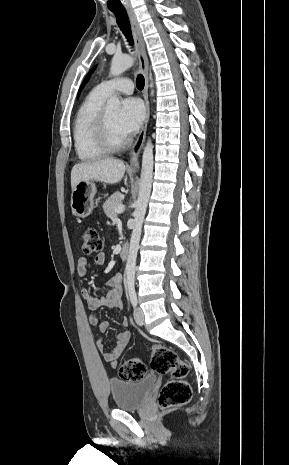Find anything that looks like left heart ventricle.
I'll return each mask as SVG.
<instances>
[{
  "instance_id": "b2bd125f",
  "label": "left heart ventricle",
  "mask_w": 289,
  "mask_h": 465,
  "mask_svg": "<svg viewBox=\"0 0 289 465\" xmlns=\"http://www.w3.org/2000/svg\"><path fill=\"white\" fill-rule=\"evenodd\" d=\"M106 111H107L108 121H109L113 136L118 140L123 139L124 136L120 132L118 128V123H117L119 110L116 108H108L106 109Z\"/></svg>"
}]
</instances>
